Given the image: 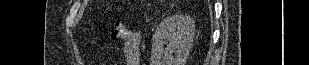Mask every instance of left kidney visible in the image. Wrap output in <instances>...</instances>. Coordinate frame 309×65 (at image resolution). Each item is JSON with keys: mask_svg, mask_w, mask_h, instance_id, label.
<instances>
[{"mask_svg": "<svg viewBox=\"0 0 309 65\" xmlns=\"http://www.w3.org/2000/svg\"><path fill=\"white\" fill-rule=\"evenodd\" d=\"M194 32V21L187 15L178 14L165 18L153 35L150 65H185ZM164 40L169 42L165 49Z\"/></svg>", "mask_w": 309, "mask_h": 65, "instance_id": "5707ae66", "label": "left kidney"}]
</instances>
